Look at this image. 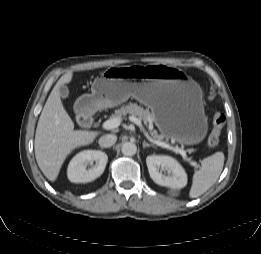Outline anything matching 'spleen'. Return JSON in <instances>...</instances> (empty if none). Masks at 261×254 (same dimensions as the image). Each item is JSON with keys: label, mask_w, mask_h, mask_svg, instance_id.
Masks as SVG:
<instances>
[{"label": "spleen", "mask_w": 261, "mask_h": 254, "mask_svg": "<svg viewBox=\"0 0 261 254\" xmlns=\"http://www.w3.org/2000/svg\"><path fill=\"white\" fill-rule=\"evenodd\" d=\"M224 165V154H215L204 158L201 169L193 175L192 186L189 191L190 198H197L209 190L218 180Z\"/></svg>", "instance_id": "spleen-1"}]
</instances>
